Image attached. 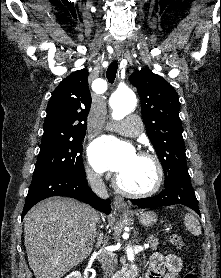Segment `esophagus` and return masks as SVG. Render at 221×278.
<instances>
[{"label":"esophagus","mask_w":221,"mask_h":278,"mask_svg":"<svg viewBox=\"0 0 221 278\" xmlns=\"http://www.w3.org/2000/svg\"><path fill=\"white\" fill-rule=\"evenodd\" d=\"M121 51L119 49H115L113 52V56L118 59L120 57ZM114 206L119 211H128L129 207L122 196L116 195L114 197Z\"/></svg>","instance_id":"esophagus-1"}]
</instances>
